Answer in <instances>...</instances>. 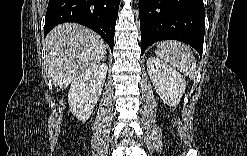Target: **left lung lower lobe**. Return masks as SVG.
I'll use <instances>...</instances> for the list:
<instances>
[{
  "label": "left lung lower lobe",
  "mask_w": 247,
  "mask_h": 156,
  "mask_svg": "<svg viewBox=\"0 0 247 156\" xmlns=\"http://www.w3.org/2000/svg\"><path fill=\"white\" fill-rule=\"evenodd\" d=\"M141 54L160 40H179L203 53V0H140Z\"/></svg>",
  "instance_id": "1"
}]
</instances>
